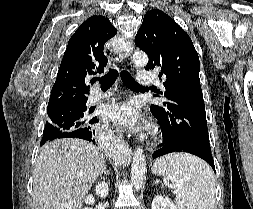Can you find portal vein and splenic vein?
<instances>
[{
    "label": "portal vein and splenic vein",
    "mask_w": 253,
    "mask_h": 209,
    "mask_svg": "<svg viewBox=\"0 0 253 209\" xmlns=\"http://www.w3.org/2000/svg\"><path fill=\"white\" fill-rule=\"evenodd\" d=\"M165 183H166V181H165ZM179 192V190L177 189V190H175V191H173V193H178Z\"/></svg>",
    "instance_id": "18ae733b"
}]
</instances>
